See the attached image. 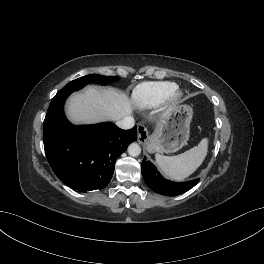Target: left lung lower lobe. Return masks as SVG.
<instances>
[{
	"label": "left lung lower lobe",
	"instance_id": "obj_1",
	"mask_svg": "<svg viewBox=\"0 0 264 264\" xmlns=\"http://www.w3.org/2000/svg\"><path fill=\"white\" fill-rule=\"evenodd\" d=\"M141 171L147 186L156 193L165 196H175L184 193L199 182V179L183 183L169 181L157 171L154 164L145 159L141 163Z\"/></svg>",
	"mask_w": 264,
	"mask_h": 264
}]
</instances>
